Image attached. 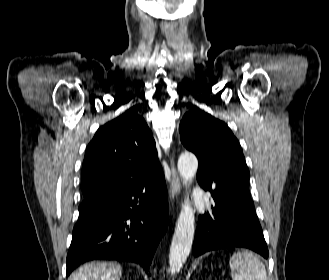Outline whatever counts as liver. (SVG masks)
<instances>
[{"mask_svg":"<svg viewBox=\"0 0 329 280\" xmlns=\"http://www.w3.org/2000/svg\"><path fill=\"white\" fill-rule=\"evenodd\" d=\"M120 265L109 262H92L82 266L68 280H120Z\"/></svg>","mask_w":329,"mask_h":280,"instance_id":"6515ba94","label":"liver"}]
</instances>
